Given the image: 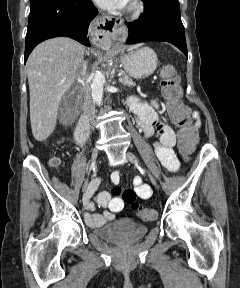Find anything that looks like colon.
Instances as JSON below:
<instances>
[{"label":"colon","mask_w":240,"mask_h":288,"mask_svg":"<svg viewBox=\"0 0 240 288\" xmlns=\"http://www.w3.org/2000/svg\"><path fill=\"white\" fill-rule=\"evenodd\" d=\"M161 93L166 102V109L170 120L178 128L179 147L183 155L189 156L197 142V131L192 126L190 111L181 101L179 74L171 65H165L160 72ZM51 164L57 166L59 160L51 159ZM123 199L131 205L135 214L143 220H152L156 213L150 208L143 207L136 202V193L133 189L123 192Z\"/></svg>","instance_id":"1"}]
</instances>
